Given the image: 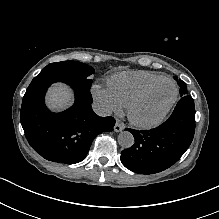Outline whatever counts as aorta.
<instances>
[{"instance_id":"1","label":"aorta","mask_w":219,"mask_h":219,"mask_svg":"<svg viewBox=\"0 0 219 219\" xmlns=\"http://www.w3.org/2000/svg\"><path fill=\"white\" fill-rule=\"evenodd\" d=\"M118 143L123 148H130L134 144V136L129 131H122L118 135Z\"/></svg>"}]
</instances>
